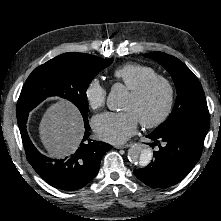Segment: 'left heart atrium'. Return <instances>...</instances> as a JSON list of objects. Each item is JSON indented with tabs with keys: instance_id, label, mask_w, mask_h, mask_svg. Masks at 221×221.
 <instances>
[{
	"instance_id": "1",
	"label": "left heart atrium",
	"mask_w": 221,
	"mask_h": 221,
	"mask_svg": "<svg viewBox=\"0 0 221 221\" xmlns=\"http://www.w3.org/2000/svg\"><path fill=\"white\" fill-rule=\"evenodd\" d=\"M138 118L132 111L104 113L94 117L92 125L101 139L119 144L132 136L138 127Z\"/></svg>"
}]
</instances>
